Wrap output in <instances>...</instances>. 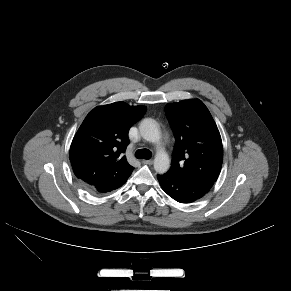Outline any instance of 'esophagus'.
Segmentation results:
<instances>
[{"instance_id":"34e87169","label":"esophagus","mask_w":291,"mask_h":291,"mask_svg":"<svg viewBox=\"0 0 291 291\" xmlns=\"http://www.w3.org/2000/svg\"><path fill=\"white\" fill-rule=\"evenodd\" d=\"M142 163L143 164H147V165H151V164H153V160H142Z\"/></svg>"}]
</instances>
